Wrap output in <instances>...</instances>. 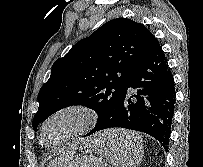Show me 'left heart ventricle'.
<instances>
[{
  "label": "left heart ventricle",
  "mask_w": 203,
  "mask_h": 167,
  "mask_svg": "<svg viewBox=\"0 0 203 167\" xmlns=\"http://www.w3.org/2000/svg\"><path fill=\"white\" fill-rule=\"evenodd\" d=\"M77 124V118L73 115H65L55 120L48 128L46 138L49 142H55L67 135Z\"/></svg>",
  "instance_id": "left-heart-ventricle-1"
}]
</instances>
